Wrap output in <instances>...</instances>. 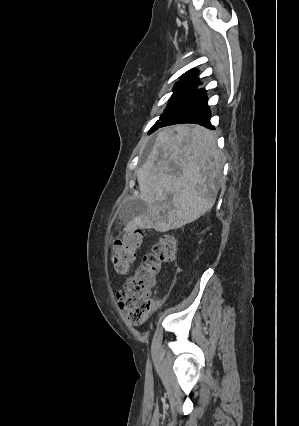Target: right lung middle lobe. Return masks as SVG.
<instances>
[{
    "instance_id": "1",
    "label": "right lung middle lobe",
    "mask_w": 299,
    "mask_h": 426,
    "mask_svg": "<svg viewBox=\"0 0 299 426\" xmlns=\"http://www.w3.org/2000/svg\"><path fill=\"white\" fill-rule=\"evenodd\" d=\"M197 88L194 86L175 85L173 95L170 98L169 104L166 107L164 113L160 116V120L173 106H175L180 100L188 96L190 93L195 91ZM159 121L156 122V124ZM155 124V125H156ZM154 125V126H155Z\"/></svg>"
}]
</instances>
